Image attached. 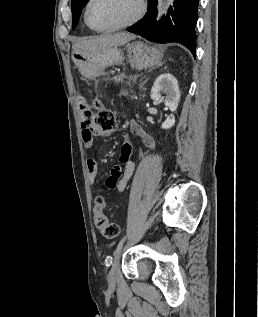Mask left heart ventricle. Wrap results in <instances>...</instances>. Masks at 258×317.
<instances>
[{"mask_svg": "<svg viewBox=\"0 0 258 317\" xmlns=\"http://www.w3.org/2000/svg\"><path fill=\"white\" fill-rule=\"evenodd\" d=\"M133 0H95L88 12L90 22L98 28H108L129 22L137 13Z\"/></svg>", "mask_w": 258, "mask_h": 317, "instance_id": "left-heart-ventricle-1", "label": "left heart ventricle"}]
</instances>
